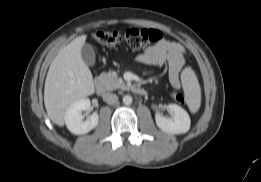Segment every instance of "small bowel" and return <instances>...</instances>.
<instances>
[{
	"label": "small bowel",
	"instance_id": "c3829d8e",
	"mask_svg": "<svg viewBox=\"0 0 261 182\" xmlns=\"http://www.w3.org/2000/svg\"><path fill=\"white\" fill-rule=\"evenodd\" d=\"M137 61L151 66L167 65L169 81L172 87L175 89L181 88L180 73L185 65V50L181 44L162 39L138 54Z\"/></svg>",
	"mask_w": 261,
	"mask_h": 182
}]
</instances>
